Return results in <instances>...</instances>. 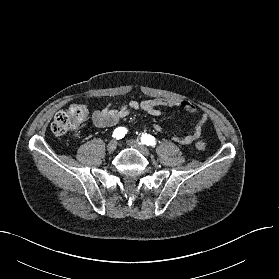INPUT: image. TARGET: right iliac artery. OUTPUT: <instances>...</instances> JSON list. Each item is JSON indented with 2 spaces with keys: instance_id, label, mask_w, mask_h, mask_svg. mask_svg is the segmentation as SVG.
Returning <instances> with one entry per match:
<instances>
[{
  "instance_id": "obj_1",
  "label": "right iliac artery",
  "mask_w": 279,
  "mask_h": 279,
  "mask_svg": "<svg viewBox=\"0 0 279 279\" xmlns=\"http://www.w3.org/2000/svg\"><path fill=\"white\" fill-rule=\"evenodd\" d=\"M126 133H127L126 128H124V127H118V128H116V129L114 130L112 136H113L114 138H116V139H122V138L125 136Z\"/></svg>"
}]
</instances>
